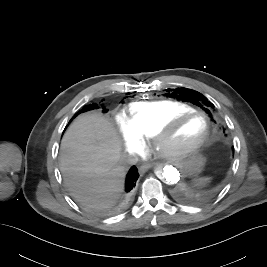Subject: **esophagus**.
<instances>
[{
    "instance_id": "esophagus-1",
    "label": "esophagus",
    "mask_w": 267,
    "mask_h": 267,
    "mask_svg": "<svg viewBox=\"0 0 267 267\" xmlns=\"http://www.w3.org/2000/svg\"><path fill=\"white\" fill-rule=\"evenodd\" d=\"M153 167L152 163H148V164H143L140 168L139 171L140 173H145L149 168Z\"/></svg>"
}]
</instances>
